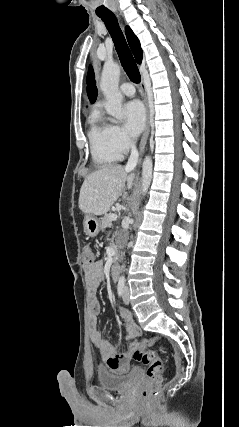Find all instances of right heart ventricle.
Returning a JSON list of instances; mask_svg holds the SVG:
<instances>
[{"instance_id":"obj_1","label":"right heart ventricle","mask_w":239,"mask_h":427,"mask_svg":"<svg viewBox=\"0 0 239 427\" xmlns=\"http://www.w3.org/2000/svg\"><path fill=\"white\" fill-rule=\"evenodd\" d=\"M88 137L91 156L97 165L111 164L121 158L120 153L111 143L109 125L97 111L90 116Z\"/></svg>"}]
</instances>
